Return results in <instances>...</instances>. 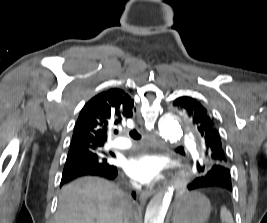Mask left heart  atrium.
Wrapping results in <instances>:
<instances>
[{
  "label": "left heart atrium",
  "instance_id": "1",
  "mask_svg": "<svg viewBox=\"0 0 267 223\" xmlns=\"http://www.w3.org/2000/svg\"><path fill=\"white\" fill-rule=\"evenodd\" d=\"M124 169L134 180L149 184L159 176L163 169V162L156 156L139 154L127 159Z\"/></svg>",
  "mask_w": 267,
  "mask_h": 223
}]
</instances>
